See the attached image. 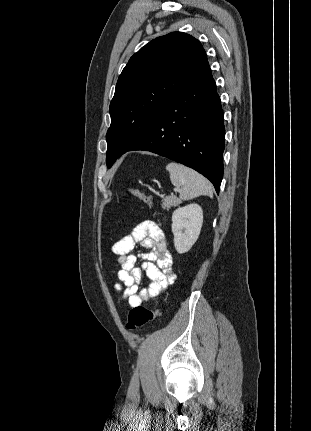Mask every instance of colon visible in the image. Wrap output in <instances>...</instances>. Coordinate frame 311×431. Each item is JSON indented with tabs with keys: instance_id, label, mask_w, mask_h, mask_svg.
Returning a JSON list of instances; mask_svg holds the SVG:
<instances>
[{
	"instance_id": "1",
	"label": "colon",
	"mask_w": 311,
	"mask_h": 431,
	"mask_svg": "<svg viewBox=\"0 0 311 431\" xmlns=\"http://www.w3.org/2000/svg\"><path fill=\"white\" fill-rule=\"evenodd\" d=\"M128 193L149 206L153 205V200L139 189H128ZM159 315L158 309H148L143 306H137L130 310L127 318V328L130 330L138 329Z\"/></svg>"
}]
</instances>
